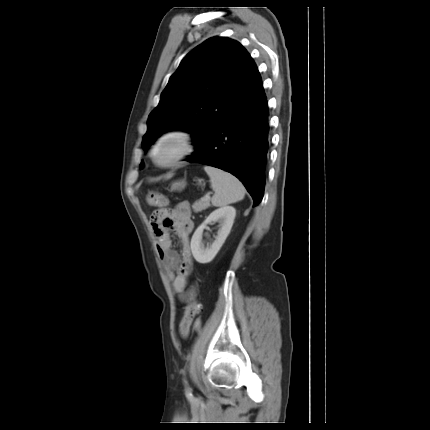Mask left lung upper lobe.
<instances>
[{
    "label": "left lung upper lobe",
    "mask_w": 430,
    "mask_h": 430,
    "mask_svg": "<svg viewBox=\"0 0 430 430\" xmlns=\"http://www.w3.org/2000/svg\"><path fill=\"white\" fill-rule=\"evenodd\" d=\"M257 66L245 48L225 37L206 40L188 53L148 118L145 149L168 130H184L193 141L258 86ZM143 166V161L140 167Z\"/></svg>",
    "instance_id": "left-lung-upper-lobe-1"
}]
</instances>
